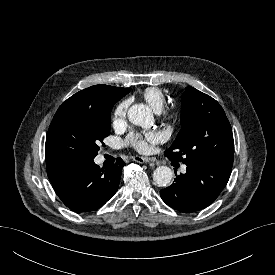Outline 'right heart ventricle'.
<instances>
[{
	"instance_id": "1",
	"label": "right heart ventricle",
	"mask_w": 275,
	"mask_h": 275,
	"mask_svg": "<svg viewBox=\"0 0 275 275\" xmlns=\"http://www.w3.org/2000/svg\"><path fill=\"white\" fill-rule=\"evenodd\" d=\"M142 98L156 112H160L166 103V96H165L164 92L160 88H157V87L146 88L142 92Z\"/></svg>"
}]
</instances>
